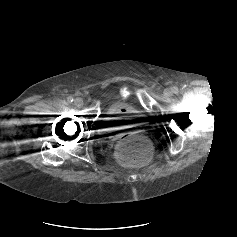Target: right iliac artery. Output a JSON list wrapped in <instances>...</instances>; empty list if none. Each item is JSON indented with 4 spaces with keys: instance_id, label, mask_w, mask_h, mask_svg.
I'll return each instance as SVG.
<instances>
[{
    "instance_id": "82829eb1",
    "label": "right iliac artery",
    "mask_w": 237,
    "mask_h": 237,
    "mask_svg": "<svg viewBox=\"0 0 237 237\" xmlns=\"http://www.w3.org/2000/svg\"><path fill=\"white\" fill-rule=\"evenodd\" d=\"M73 100H74L73 97H71V96L67 97V101H68L69 103H72Z\"/></svg>"
}]
</instances>
